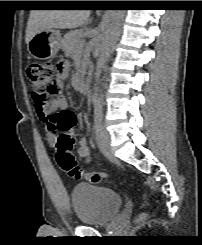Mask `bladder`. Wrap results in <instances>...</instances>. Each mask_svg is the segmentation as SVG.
<instances>
[{
	"mask_svg": "<svg viewBox=\"0 0 202 245\" xmlns=\"http://www.w3.org/2000/svg\"><path fill=\"white\" fill-rule=\"evenodd\" d=\"M71 202L78 221L93 226L108 222L123 205L119 193L95 184L74 186L71 191Z\"/></svg>",
	"mask_w": 202,
	"mask_h": 245,
	"instance_id": "31cf9c89",
	"label": "bladder"
}]
</instances>
